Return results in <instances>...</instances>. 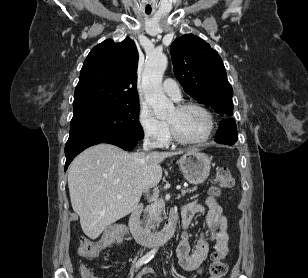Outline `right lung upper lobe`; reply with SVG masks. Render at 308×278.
Segmentation results:
<instances>
[{"mask_svg": "<svg viewBox=\"0 0 308 278\" xmlns=\"http://www.w3.org/2000/svg\"><path fill=\"white\" fill-rule=\"evenodd\" d=\"M138 52L129 37L107 39L88 54L74 94V115L115 105L139 103Z\"/></svg>", "mask_w": 308, "mask_h": 278, "instance_id": "obj_1", "label": "right lung upper lobe"}]
</instances>
